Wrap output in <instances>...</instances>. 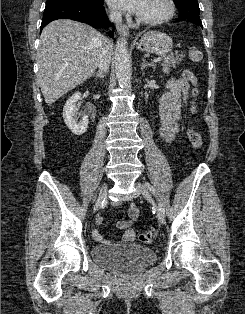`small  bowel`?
<instances>
[{
	"instance_id": "obj_1",
	"label": "small bowel",
	"mask_w": 245,
	"mask_h": 314,
	"mask_svg": "<svg viewBox=\"0 0 245 314\" xmlns=\"http://www.w3.org/2000/svg\"><path fill=\"white\" fill-rule=\"evenodd\" d=\"M195 76L190 70H183L180 77L167 84L166 90L160 99V136L166 144H170L181 130L182 112L186 105L188 91L191 85L195 84ZM128 214L130 221H120L118 227L123 229L122 241L133 242L136 239V231L130 227L131 222L139 217V210L134 203H131ZM97 240L107 244L98 232L94 233Z\"/></svg>"
}]
</instances>
